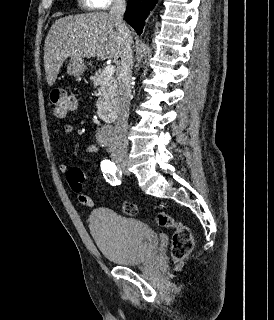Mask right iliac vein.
<instances>
[{
  "label": "right iliac vein",
  "instance_id": "1",
  "mask_svg": "<svg viewBox=\"0 0 274 320\" xmlns=\"http://www.w3.org/2000/svg\"><path fill=\"white\" fill-rule=\"evenodd\" d=\"M116 163L118 167L123 170V172L129 174L128 167H129V162L126 158H117Z\"/></svg>",
  "mask_w": 274,
  "mask_h": 320
}]
</instances>
